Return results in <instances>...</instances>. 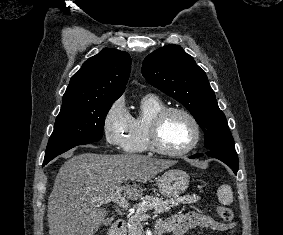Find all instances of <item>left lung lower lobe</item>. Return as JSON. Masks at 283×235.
<instances>
[{
	"mask_svg": "<svg viewBox=\"0 0 283 235\" xmlns=\"http://www.w3.org/2000/svg\"><path fill=\"white\" fill-rule=\"evenodd\" d=\"M210 157L217 158L227 164L235 174L238 171V155L235 148L232 149H213L206 153ZM202 156V154H195L190 158H197Z\"/></svg>",
	"mask_w": 283,
	"mask_h": 235,
	"instance_id": "0a47b994",
	"label": "left lung lower lobe"
}]
</instances>
